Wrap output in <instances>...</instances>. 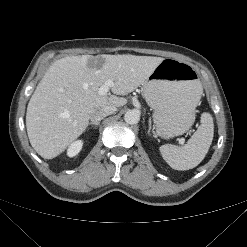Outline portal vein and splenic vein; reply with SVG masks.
Segmentation results:
<instances>
[{
  "mask_svg": "<svg viewBox=\"0 0 247 247\" xmlns=\"http://www.w3.org/2000/svg\"><path fill=\"white\" fill-rule=\"evenodd\" d=\"M113 85H114V83L112 80L105 81L104 84L98 90L99 94L100 95H106ZM179 143L184 144V140L183 139L179 140Z\"/></svg>",
  "mask_w": 247,
  "mask_h": 247,
  "instance_id": "1",
  "label": "portal vein and splenic vein"
}]
</instances>
